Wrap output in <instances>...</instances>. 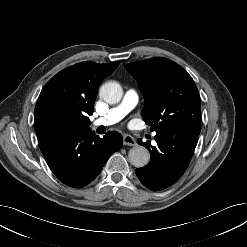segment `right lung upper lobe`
Returning a JSON list of instances; mask_svg holds the SVG:
<instances>
[{"mask_svg": "<svg viewBox=\"0 0 247 247\" xmlns=\"http://www.w3.org/2000/svg\"><path fill=\"white\" fill-rule=\"evenodd\" d=\"M118 65L119 62H81L51 78L42 89L34 112L38 141L43 140L50 123L57 119L70 120L78 129H89L88 115L93 113L98 86Z\"/></svg>", "mask_w": 247, "mask_h": 247, "instance_id": "right-lung-upper-lobe-1", "label": "right lung upper lobe"}]
</instances>
